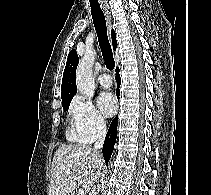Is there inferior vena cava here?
<instances>
[{"instance_id": "obj_1", "label": "inferior vena cava", "mask_w": 211, "mask_h": 195, "mask_svg": "<svg viewBox=\"0 0 211 195\" xmlns=\"http://www.w3.org/2000/svg\"><path fill=\"white\" fill-rule=\"evenodd\" d=\"M106 124L104 121H100L97 125V141L94 144L93 150L98 151L103 147V143L106 136ZM89 195H96V187L93 186Z\"/></svg>"}]
</instances>
